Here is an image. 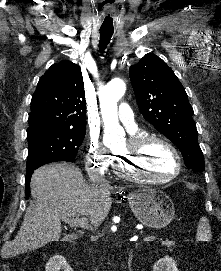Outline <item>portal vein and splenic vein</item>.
<instances>
[{"instance_id": "18ae733b", "label": "portal vein and splenic vein", "mask_w": 221, "mask_h": 271, "mask_svg": "<svg viewBox=\"0 0 221 271\" xmlns=\"http://www.w3.org/2000/svg\"><path fill=\"white\" fill-rule=\"evenodd\" d=\"M62 221L69 223L70 227H87V217H77V215H64ZM144 240H156V235H144Z\"/></svg>"}]
</instances>
